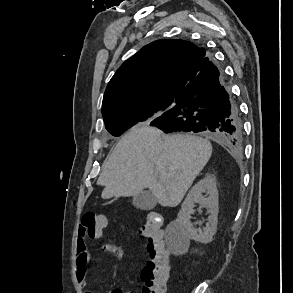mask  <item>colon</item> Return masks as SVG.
Segmentation results:
<instances>
[{"label":"colon","instance_id":"1","mask_svg":"<svg viewBox=\"0 0 293 293\" xmlns=\"http://www.w3.org/2000/svg\"><path fill=\"white\" fill-rule=\"evenodd\" d=\"M106 226V217L95 212L84 213L81 229L89 238H100ZM162 216L150 212L139 227V234L148 239V260L141 271L144 283L143 293H165L170 275L168 250L165 248L161 232Z\"/></svg>","mask_w":293,"mask_h":293}]
</instances>
